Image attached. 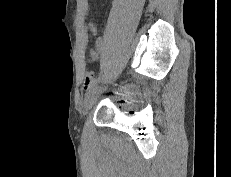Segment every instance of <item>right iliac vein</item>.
Here are the masks:
<instances>
[{
    "instance_id": "right-iliac-vein-1",
    "label": "right iliac vein",
    "mask_w": 231,
    "mask_h": 177,
    "mask_svg": "<svg viewBox=\"0 0 231 177\" xmlns=\"http://www.w3.org/2000/svg\"><path fill=\"white\" fill-rule=\"evenodd\" d=\"M102 87L95 86L91 90H89L84 98V111L87 112L95 103L97 94L101 92Z\"/></svg>"
}]
</instances>
